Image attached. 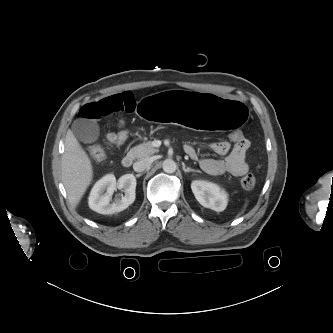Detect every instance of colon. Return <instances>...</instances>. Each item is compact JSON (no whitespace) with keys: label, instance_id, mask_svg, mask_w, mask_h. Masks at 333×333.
<instances>
[{"label":"colon","instance_id":"colon-1","mask_svg":"<svg viewBox=\"0 0 333 333\" xmlns=\"http://www.w3.org/2000/svg\"><path fill=\"white\" fill-rule=\"evenodd\" d=\"M129 135H130V132L128 130H126V129L119 130L115 134V144L121 145V144L125 143L129 137ZM228 136H229V139L234 143L240 142L243 139H245L244 134L240 130H232L231 132H229ZM88 153L94 161H98V162L105 160L106 156H107L106 150L103 147L98 146V145L91 146L88 150ZM241 184H242L243 188H245L247 190H251L256 185V178L251 173L246 174L242 178Z\"/></svg>","mask_w":333,"mask_h":333}]
</instances>
